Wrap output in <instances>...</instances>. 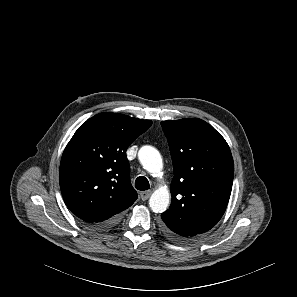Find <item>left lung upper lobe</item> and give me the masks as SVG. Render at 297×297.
<instances>
[{"label": "left lung upper lobe", "mask_w": 297, "mask_h": 297, "mask_svg": "<svg viewBox=\"0 0 297 297\" xmlns=\"http://www.w3.org/2000/svg\"><path fill=\"white\" fill-rule=\"evenodd\" d=\"M174 177L172 202L161 214L182 240L210 230L223 216L232 189L234 164L225 139L197 118L162 121Z\"/></svg>", "instance_id": "5c2ea615"}]
</instances>
